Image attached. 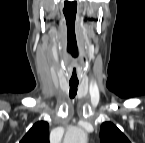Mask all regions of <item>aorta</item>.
<instances>
[{
  "mask_svg": "<svg viewBox=\"0 0 145 143\" xmlns=\"http://www.w3.org/2000/svg\"><path fill=\"white\" fill-rule=\"evenodd\" d=\"M86 133L78 128H73L68 131L64 138V143H86Z\"/></svg>",
  "mask_w": 145,
  "mask_h": 143,
  "instance_id": "762f6f07",
  "label": "aorta"
}]
</instances>
